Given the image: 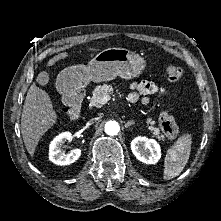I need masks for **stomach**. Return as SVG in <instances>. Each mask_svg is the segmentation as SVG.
<instances>
[{
    "instance_id": "0dacf381",
    "label": "stomach",
    "mask_w": 221,
    "mask_h": 221,
    "mask_svg": "<svg viewBox=\"0 0 221 221\" xmlns=\"http://www.w3.org/2000/svg\"><path fill=\"white\" fill-rule=\"evenodd\" d=\"M146 61L139 54L125 48H108L99 52L87 66L65 68L58 79L69 89L85 87L90 81L107 82L117 76L130 80L145 69Z\"/></svg>"
}]
</instances>
